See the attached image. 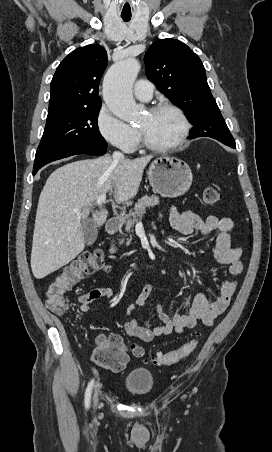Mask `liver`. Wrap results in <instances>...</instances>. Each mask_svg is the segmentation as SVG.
Here are the masks:
<instances>
[{
    "label": "liver",
    "instance_id": "1",
    "mask_svg": "<svg viewBox=\"0 0 272 452\" xmlns=\"http://www.w3.org/2000/svg\"><path fill=\"white\" fill-rule=\"evenodd\" d=\"M152 157L116 163L106 155L71 162L51 173L40 194L35 219L31 252L35 278L55 272L83 251V220L97 198L109 193L117 203H122L135 197L144 168ZM107 215L106 210L96 211L93 222L101 226Z\"/></svg>",
    "mask_w": 272,
    "mask_h": 452
}]
</instances>
